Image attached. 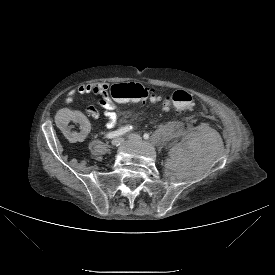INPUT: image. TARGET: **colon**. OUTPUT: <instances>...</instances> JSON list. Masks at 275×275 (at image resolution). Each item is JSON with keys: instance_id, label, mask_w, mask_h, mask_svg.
Masks as SVG:
<instances>
[{"instance_id": "colon-1", "label": "colon", "mask_w": 275, "mask_h": 275, "mask_svg": "<svg viewBox=\"0 0 275 275\" xmlns=\"http://www.w3.org/2000/svg\"><path fill=\"white\" fill-rule=\"evenodd\" d=\"M111 96L119 101L143 102L154 101L153 91L140 84L115 85L111 88ZM173 105L180 110H189L193 106L192 95L185 90H177L165 96V106Z\"/></svg>"}]
</instances>
